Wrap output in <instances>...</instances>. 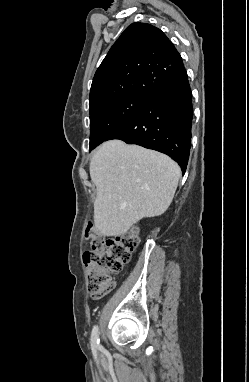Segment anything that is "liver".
I'll list each match as a JSON object with an SVG mask.
<instances>
[{
	"label": "liver",
	"mask_w": 249,
	"mask_h": 382,
	"mask_svg": "<svg viewBox=\"0 0 249 382\" xmlns=\"http://www.w3.org/2000/svg\"><path fill=\"white\" fill-rule=\"evenodd\" d=\"M96 186L94 223L102 236H120L171 204L180 167L170 157L121 140L103 143L90 161Z\"/></svg>",
	"instance_id": "liver-1"
}]
</instances>
